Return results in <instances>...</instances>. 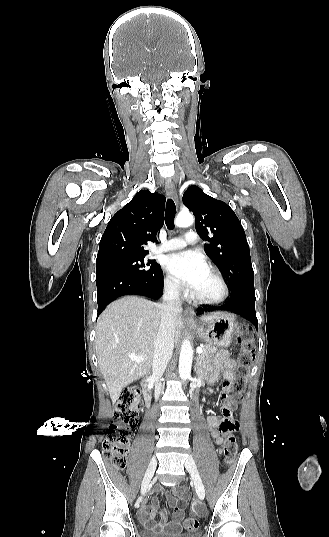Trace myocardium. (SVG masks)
<instances>
[{
  "label": "myocardium",
  "instance_id": "myocardium-1",
  "mask_svg": "<svg viewBox=\"0 0 329 537\" xmlns=\"http://www.w3.org/2000/svg\"><path fill=\"white\" fill-rule=\"evenodd\" d=\"M208 271L213 275V277L216 279L217 283L220 287V292L218 295L213 297H204L197 294H193V298L198 302L202 304H218L227 299L229 296V287L226 283L224 277L221 275V273L215 269L212 266L207 267Z\"/></svg>",
  "mask_w": 329,
  "mask_h": 537
}]
</instances>
